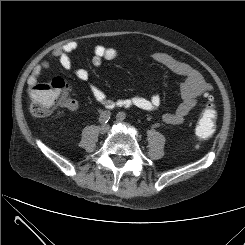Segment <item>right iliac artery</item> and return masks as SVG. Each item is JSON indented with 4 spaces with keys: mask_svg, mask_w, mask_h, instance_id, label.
<instances>
[{
    "mask_svg": "<svg viewBox=\"0 0 245 245\" xmlns=\"http://www.w3.org/2000/svg\"><path fill=\"white\" fill-rule=\"evenodd\" d=\"M111 118V113L110 111H103L101 114H100V117H99V122L101 124H106Z\"/></svg>",
    "mask_w": 245,
    "mask_h": 245,
    "instance_id": "1",
    "label": "right iliac artery"
}]
</instances>
